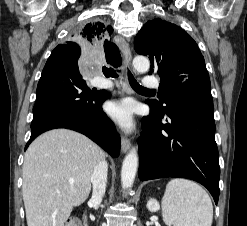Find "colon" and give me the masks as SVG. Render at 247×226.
I'll list each match as a JSON object with an SVG mask.
<instances>
[{"instance_id":"obj_1","label":"colon","mask_w":247,"mask_h":226,"mask_svg":"<svg viewBox=\"0 0 247 226\" xmlns=\"http://www.w3.org/2000/svg\"><path fill=\"white\" fill-rule=\"evenodd\" d=\"M65 226H82V223L77 217H70L67 219Z\"/></svg>"}]
</instances>
